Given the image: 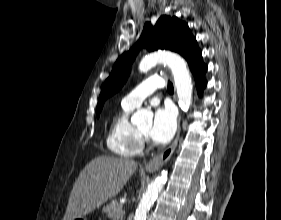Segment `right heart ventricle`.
<instances>
[{
	"mask_svg": "<svg viewBox=\"0 0 281 220\" xmlns=\"http://www.w3.org/2000/svg\"><path fill=\"white\" fill-rule=\"evenodd\" d=\"M133 109L134 107L122 102L121 109L114 115L109 128L107 146L112 153L121 157H135L143 149L139 131L129 120Z\"/></svg>",
	"mask_w": 281,
	"mask_h": 220,
	"instance_id": "e07e8e85",
	"label": "right heart ventricle"
}]
</instances>
